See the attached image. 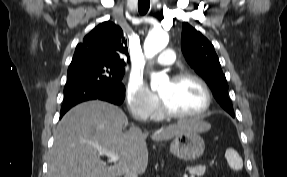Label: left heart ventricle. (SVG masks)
Instances as JSON below:
<instances>
[{
  "label": "left heart ventricle",
  "mask_w": 287,
  "mask_h": 177,
  "mask_svg": "<svg viewBox=\"0 0 287 177\" xmlns=\"http://www.w3.org/2000/svg\"><path fill=\"white\" fill-rule=\"evenodd\" d=\"M159 96L172 111L183 114L196 113L205 103L201 87L192 80H170L159 89Z\"/></svg>",
  "instance_id": "left-heart-ventricle-1"
}]
</instances>
